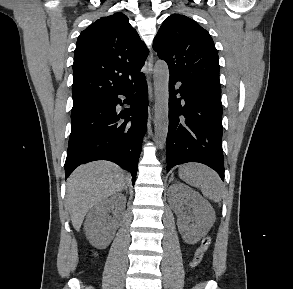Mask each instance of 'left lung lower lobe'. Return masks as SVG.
Returning <instances> with one entry per match:
<instances>
[{"label": "left lung lower lobe", "instance_id": "left-lung-lower-lobe-1", "mask_svg": "<svg viewBox=\"0 0 293 289\" xmlns=\"http://www.w3.org/2000/svg\"><path fill=\"white\" fill-rule=\"evenodd\" d=\"M179 81L182 85L175 90ZM178 93L181 98L176 97ZM166 159L167 171L178 164L199 162L224 181L221 90L170 75Z\"/></svg>", "mask_w": 293, "mask_h": 289}]
</instances>
